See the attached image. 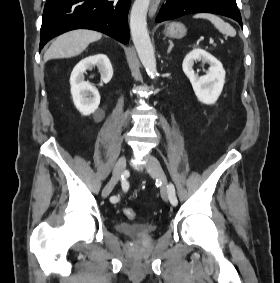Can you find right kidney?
<instances>
[{
  "label": "right kidney",
  "instance_id": "obj_1",
  "mask_svg": "<svg viewBox=\"0 0 280 283\" xmlns=\"http://www.w3.org/2000/svg\"><path fill=\"white\" fill-rule=\"evenodd\" d=\"M94 66L101 74V81L108 83L113 76L112 65L104 54H96L82 59L73 69L70 76L71 94L77 110L83 115L92 114L100 104V94L91 83L84 80L86 70Z\"/></svg>",
  "mask_w": 280,
  "mask_h": 283
}]
</instances>
